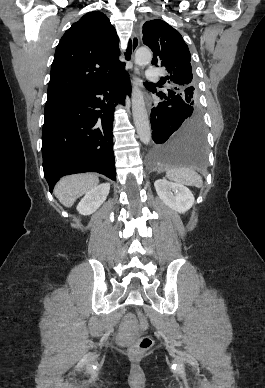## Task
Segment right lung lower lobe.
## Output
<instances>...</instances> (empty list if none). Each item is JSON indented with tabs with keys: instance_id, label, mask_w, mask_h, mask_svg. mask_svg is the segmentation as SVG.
Wrapping results in <instances>:
<instances>
[{
	"instance_id": "1",
	"label": "right lung lower lobe",
	"mask_w": 265,
	"mask_h": 388,
	"mask_svg": "<svg viewBox=\"0 0 265 388\" xmlns=\"http://www.w3.org/2000/svg\"><path fill=\"white\" fill-rule=\"evenodd\" d=\"M130 92L123 70L109 81L46 102L42 155L50 192L59 178L73 173L94 171L116 180L113 114L118 95L124 105Z\"/></svg>"
}]
</instances>
